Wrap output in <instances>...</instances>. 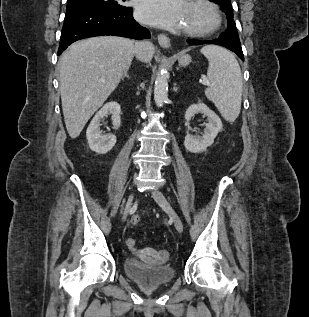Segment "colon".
Listing matches in <instances>:
<instances>
[{"label":"colon","mask_w":309,"mask_h":317,"mask_svg":"<svg viewBox=\"0 0 309 317\" xmlns=\"http://www.w3.org/2000/svg\"><path fill=\"white\" fill-rule=\"evenodd\" d=\"M139 222H140V217H139L138 215H133L132 218H131V223H132L133 225H137V224H139ZM126 244H127V246H128L129 248H135V246H136V240L133 239V238H129V239H127V241H126ZM162 255H163V256H166V253L163 252Z\"/></svg>","instance_id":"obj_1"}]
</instances>
